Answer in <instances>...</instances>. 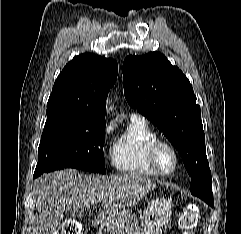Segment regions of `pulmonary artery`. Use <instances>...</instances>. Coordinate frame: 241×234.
<instances>
[{
    "label": "pulmonary artery",
    "instance_id": "1",
    "mask_svg": "<svg viewBox=\"0 0 241 234\" xmlns=\"http://www.w3.org/2000/svg\"><path fill=\"white\" fill-rule=\"evenodd\" d=\"M130 119L131 120H144V118L141 115L135 114V113L130 115Z\"/></svg>",
    "mask_w": 241,
    "mask_h": 234
}]
</instances>
